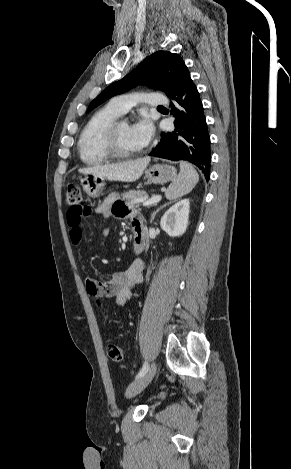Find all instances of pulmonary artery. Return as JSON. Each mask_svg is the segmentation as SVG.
Returning <instances> with one entry per match:
<instances>
[{
	"instance_id": "e3ab8cb5",
	"label": "pulmonary artery",
	"mask_w": 291,
	"mask_h": 469,
	"mask_svg": "<svg viewBox=\"0 0 291 469\" xmlns=\"http://www.w3.org/2000/svg\"><path fill=\"white\" fill-rule=\"evenodd\" d=\"M140 103L150 107H159L166 105L168 99L160 93H141L119 95L110 101V104L120 113H126L133 106Z\"/></svg>"
}]
</instances>
